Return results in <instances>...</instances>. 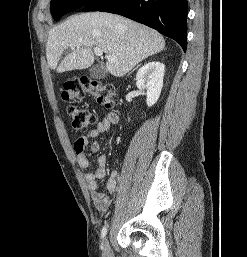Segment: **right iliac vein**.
Returning <instances> with one entry per match:
<instances>
[{"label": "right iliac vein", "mask_w": 247, "mask_h": 257, "mask_svg": "<svg viewBox=\"0 0 247 257\" xmlns=\"http://www.w3.org/2000/svg\"><path fill=\"white\" fill-rule=\"evenodd\" d=\"M102 257H113L112 249L108 238H104L102 246Z\"/></svg>", "instance_id": "1"}]
</instances>
